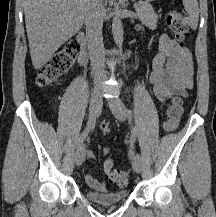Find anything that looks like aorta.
Returning <instances> with one entry per match:
<instances>
[{
  "instance_id": "1",
  "label": "aorta",
  "mask_w": 216,
  "mask_h": 217,
  "mask_svg": "<svg viewBox=\"0 0 216 217\" xmlns=\"http://www.w3.org/2000/svg\"><path fill=\"white\" fill-rule=\"evenodd\" d=\"M112 34L115 41V44L119 48V52H122V45H123V26L121 19L118 15H115L112 21Z\"/></svg>"
}]
</instances>
